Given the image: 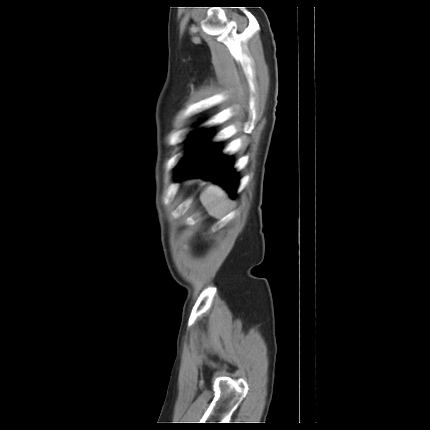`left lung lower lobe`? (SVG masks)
<instances>
[{
	"label": "left lung lower lobe",
	"mask_w": 430,
	"mask_h": 430,
	"mask_svg": "<svg viewBox=\"0 0 430 430\" xmlns=\"http://www.w3.org/2000/svg\"><path fill=\"white\" fill-rule=\"evenodd\" d=\"M212 132L198 131L192 136L191 151L177 165L175 179L204 177L221 184L233 197L239 177L233 169V159L221 153L217 143H208Z\"/></svg>",
	"instance_id": "0a47b994"
}]
</instances>
